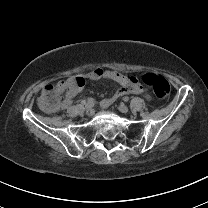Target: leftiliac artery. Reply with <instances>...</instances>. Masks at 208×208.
I'll list each match as a JSON object with an SVG mask.
<instances>
[{
  "label": "left iliac artery",
  "mask_w": 208,
  "mask_h": 208,
  "mask_svg": "<svg viewBox=\"0 0 208 208\" xmlns=\"http://www.w3.org/2000/svg\"><path fill=\"white\" fill-rule=\"evenodd\" d=\"M123 100H124L125 102H128V101H129V98L126 96V97L123 98Z\"/></svg>",
  "instance_id": "1"
}]
</instances>
